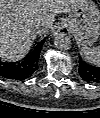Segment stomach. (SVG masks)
Instances as JSON below:
<instances>
[{
  "mask_svg": "<svg viewBox=\"0 0 100 118\" xmlns=\"http://www.w3.org/2000/svg\"><path fill=\"white\" fill-rule=\"evenodd\" d=\"M67 22L82 44L92 45L100 36V10L93 0H81L69 13Z\"/></svg>",
  "mask_w": 100,
  "mask_h": 118,
  "instance_id": "1",
  "label": "stomach"
}]
</instances>
